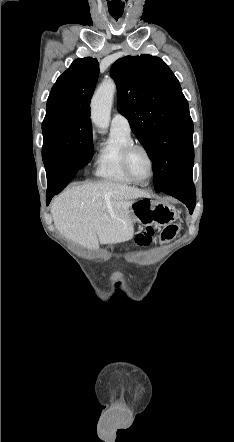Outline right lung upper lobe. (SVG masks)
Wrapping results in <instances>:
<instances>
[{
  "instance_id": "right-lung-upper-lobe-1",
  "label": "right lung upper lobe",
  "mask_w": 234,
  "mask_h": 442,
  "mask_svg": "<svg viewBox=\"0 0 234 442\" xmlns=\"http://www.w3.org/2000/svg\"><path fill=\"white\" fill-rule=\"evenodd\" d=\"M98 75L97 59L86 57L73 61L52 87L47 100L45 119L74 118L92 128L89 105Z\"/></svg>"
}]
</instances>
